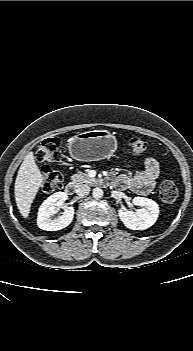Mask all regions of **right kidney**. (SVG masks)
<instances>
[{
	"label": "right kidney",
	"mask_w": 193,
	"mask_h": 351,
	"mask_svg": "<svg viewBox=\"0 0 193 351\" xmlns=\"http://www.w3.org/2000/svg\"><path fill=\"white\" fill-rule=\"evenodd\" d=\"M67 199L68 196L65 192H56L41 204L37 216V225L40 229L57 231L67 227L72 222L75 213L72 206L66 207L58 218H51L56 213V207L61 206Z\"/></svg>",
	"instance_id": "1"
}]
</instances>
